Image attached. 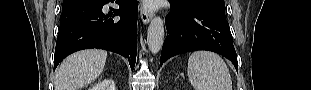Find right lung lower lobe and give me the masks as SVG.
<instances>
[{
	"mask_svg": "<svg viewBox=\"0 0 311 90\" xmlns=\"http://www.w3.org/2000/svg\"><path fill=\"white\" fill-rule=\"evenodd\" d=\"M110 0H85L62 10L54 69L69 54L88 48L109 50L129 60L134 69L137 52V0H116L119 9L102 11ZM111 2H114L111 0ZM120 18H114L115 16Z\"/></svg>",
	"mask_w": 311,
	"mask_h": 90,
	"instance_id": "98d812e1",
	"label": "right lung lower lobe"
}]
</instances>
